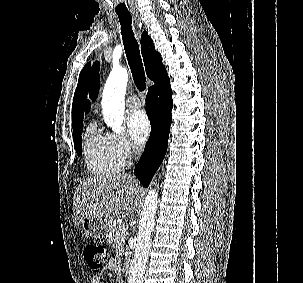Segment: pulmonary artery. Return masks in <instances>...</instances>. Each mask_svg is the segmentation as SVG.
Masks as SVG:
<instances>
[{"label": "pulmonary artery", "mask_w": 303, "mask_h": 283, "mask_svg": "<svg viewBox=\"0 0 303 283\" xmlns=\"http://www.w3.org/2000/svg\"><path fill=\"white\" fill-rule=\"evenodd\" d=\"M129 108H139L141 106V100L136 95H130L126 100Z\"/></svg>", "instance_id": "obj_1"}]
</instances>
